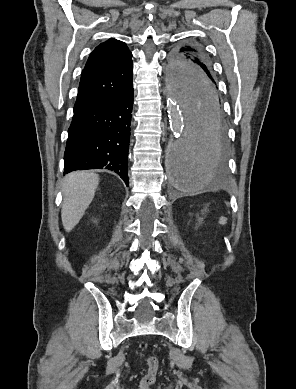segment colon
<instances>
[{
	"instance_id": "1",
	"label": "colon",
	"mask_w": 296,
	"mask_h": 389,
	"mask_svg": "<svg viewBox=\"0 0 296 389\" xmlns=\"http://www.w3.org/2000/svg\"><path fill=\"white\" fill-rule=\"evenodd\" d=\"M146 362L148 368L141 381L142 389H149V387L153 384L159 367V361L155 356L147 357Z\"/></svg>"
}]
</instances>
